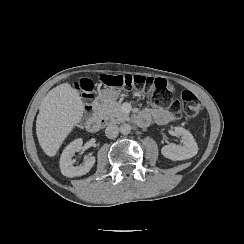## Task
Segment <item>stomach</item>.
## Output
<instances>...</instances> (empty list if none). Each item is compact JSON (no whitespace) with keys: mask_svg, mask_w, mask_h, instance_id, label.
Returning <instances> with one entry per match:
<instances>
[{"mask_svg":"<svg viewBox=\"0 0 244 244\" xmlns=\"http://www.w3.org/2000/svg\"><path fill=\"white\" fill-rule=\"evenodd\" d=\"M120 95V91L115 87H105L98 92L97 99H100L104 103H108L113 99H117Z\"/></svg>","mask_w":244,"mask_h":244,"instance_id":"0dacf381","label":"stomach"}]
</instances>
